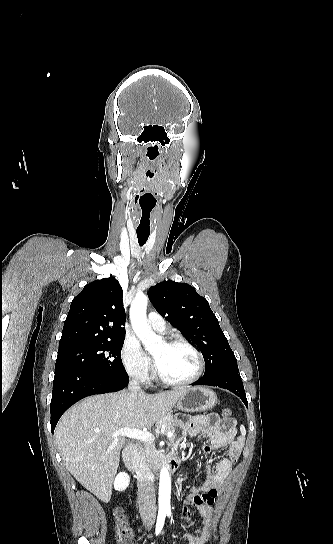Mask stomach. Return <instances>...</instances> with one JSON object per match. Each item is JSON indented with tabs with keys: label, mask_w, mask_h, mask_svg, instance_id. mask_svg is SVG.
<instances>
[{
	"label": "stomach",
	"mask_w": 333,
	"mask_h": 544,
	"mask_svg": "<svg viewBox=\"0 0 333 544\" xmlns=\"http://www.w3.org/2000/svg\"><path fill=\"white\" fill-rule=\"evenodd\" d=\"M216 404L215 392L198 386L185 390L177 401V408L185 412H203L211 410Z\"/></svg>",
	"instance_id": "stomach-1"
}]
</instances>
